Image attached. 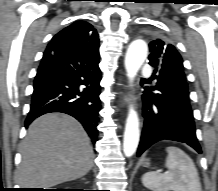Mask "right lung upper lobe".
Returning a JSON list of instances; mask_svg holds the SVG:
<instances>
[{"mask_svg":"<svg viewBox=\"0 0 218 191\" xmlns=\"http://www.w3.org/2000/svg\"><path fill=\"white\" fill-rule=\"evenodd\" d=\"M51 42H58L79 49L99 47V38L93 26L85 21H76L56 34Z\"/></svg>","mask_w":218,"mask_h":191,"instance_id":"cb5924a9","label":"right lung upper lobe"}]
</instances>
